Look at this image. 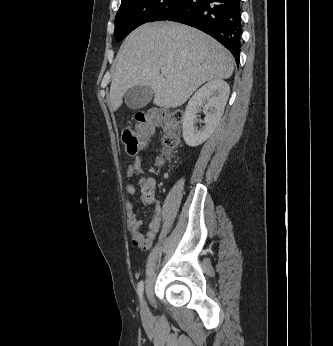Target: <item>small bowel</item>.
<instances>
[{"label": "small bowel", "instance_id": "small-bowel-1", "mask_svg": "<svg viewBox=\"0 0 333 346\" xmlns=\"http://www.w3.org/2000/svg\"><path fill=\"white\" fill-rule=\"evenodd\" d=\"M143 160L137 156L134 161L127 167L126 175L129 179H138V183L142 189L141 200L144 205L152 207L153 215L149 225V230L144 234L141 230L142 221L137 217L134 205L127 201L125 206L127 210V226L132 239H129V246H133L134 250H138L140 254L145 252L144 248H148L156 238L161 227V205L155 199L154 183L141 176ZM126 191L129 196H135L137 193L136 186L128 183Z\"/></svg>", "mask_w": 333, "mask_h": 346}]
</instances>
